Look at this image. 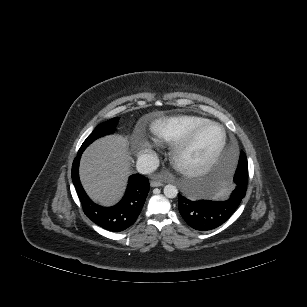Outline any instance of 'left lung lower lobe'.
Listing matches in <instances>:
<instances>
[{
	"label": "left lung lower lobe",
	"mask_w": 307,
	"mask_h": 307,
	"mask_svg": "<svg viewBox=\"0 0 307 307\" xmlns=\"http://www.w3.org/2000/svg\"><path fill=\"white\" fill-rule=\"evenodd\" d=\"M238 166L241 170L248 172V163L243 151L240 153ZM236 188L229 199L225 201H211L191 196L178 194V208L185 222L193 229L200 231L212 230L225 223L236 211L242 199L245 197L247 184L236 181Z\"/></svg>",
	"instance_id": "left-lung-lower-lobe-1"
}]
</instances>
